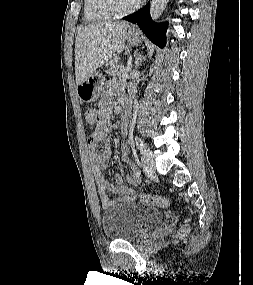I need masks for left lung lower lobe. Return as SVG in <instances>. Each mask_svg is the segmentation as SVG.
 Listing matches in <instances>:
<instances>
[{"label":"left lung lower lobe","mask_w":253,"mask_h":285,"mask_svg":"<svg viewBox=\"0 0 253 285\" xmlns=\"http://www.w3.org/2000/svg\"><path fill=\"white\" fill-rule=\"evenodd\" d=\"M150 4L148 3L141 10L124 17L132 23H137L144 34L159 47L165 46L167 23H154L149 14Z\"/></svg>","instance_id":"left-lung-lower-lobe-1"}]
</instances>
